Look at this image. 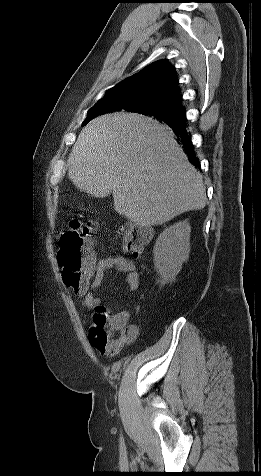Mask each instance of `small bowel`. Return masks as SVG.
Masks as SVG:
<instances>
[{
  "label": "small bowel",
  "instance_id": "obj_1",
  "mask_svg": "<svg viewBox=\"0 0 261 476\" xmlns=\"http://www.w3.org/2000/svg\"><path fill=\"white\" fill-rule=\"evenodd\" d=\"M111 269L125 274V281L129 291H135L138 288L139 275L131 260L119 255H109L100 260H94L93 257L92 280L85 289L76 291V293L83 297V306L94 312L101 307V300L95 295V292L102 285L106 273ZM129 318L130 315L127 311H120L109 319V325L113 329L122 331L125 334L123 346L113 354L118 353L138 334V327L134 324H129Z\"/></svg>",
  "mask_w": 261,
  "mask_h": 476
}]
</instances>
